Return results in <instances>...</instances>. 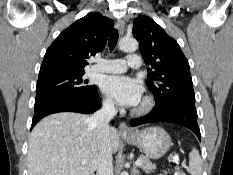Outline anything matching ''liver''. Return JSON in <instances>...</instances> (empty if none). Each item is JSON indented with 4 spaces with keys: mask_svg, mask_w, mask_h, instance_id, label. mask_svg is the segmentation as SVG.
Here are the masks:
<instances>
[{
    "mask_svg": "<svg viewBox=\"0 0 233 175\" xmlns=\"http://www.w3.org/2000/svg\"><path fill=\"white\" fill-rule=\"evenodd\" d=\"M89 120L88 115L73 112L42 119L31 132L29 175H93L100 145L97 129ZM109 139L112 153H116L119 135L114 127L109 128Z\"/></svg>",
    "mask_w": 233,
    "mask_h": 175,
    "instance_id": "liver-1",
    "label": "liver"
}]
</instances>
